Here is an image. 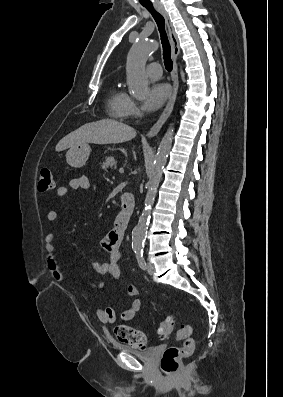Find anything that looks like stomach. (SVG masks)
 Wrapping results in <instances>:
<instances>
[{"label":"stomach","mask_w":283,"mask_h":397,"mask_svg":"<svg viewBox=\"0 0 283 397\" xmlns=\"http://www.w3.org/2000/svg\"><path fill=\"white\" fill-rule=\"evenodd\" d=\"M91 148L87 143L72 147L66 153L67 163L74 168H80L85 165L90 155Z\"/></svg>","instance_id":"1"}]
</instances>
